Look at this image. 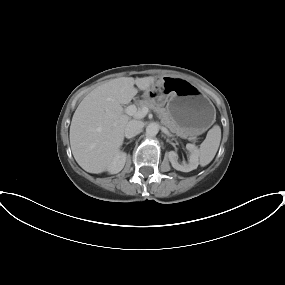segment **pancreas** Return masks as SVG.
<instances>
[{"label": "pancreas", "instance_id": "pancreas-1", "mask_svg": "<svg viewBox=\"0 0 285 285\" xmlns=\"http://www.w3.org/2000/svg\"><path fill=\"white\" fill-rule=\"evenodd\" d=\"M138 106L140 108L147 107V108L153 110L158 115L159 119H161V122L165 126H167L171 132L175 133L176 135H178L182 138H188L190 140L195 139V137L189 136L183 129H181L177 125H175V123L169 117L166 109L162 108L156 102L150 101V100H142L139 102Z\"/></svg>", "mask_w": 285, "mask_h": 285}]
</instances>
